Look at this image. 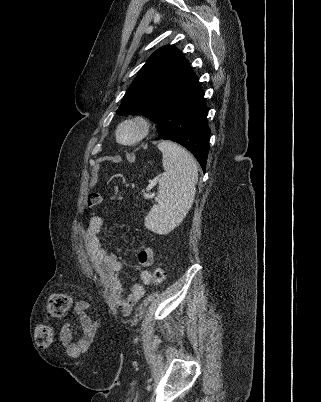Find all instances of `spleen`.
Here are the masks:
<instances>
[{
	"instance_id": "3e777b00",
	"label": "spleen",
	"mask_w": 321,
	"mask_h": 402,
	"mask_svg": "<svg viewBox=\"0 0 321 402\" xmlns=\"http://www.w3.org/2000/svg\"><path fill=\"white\" fill-rule=\"evenodd\" d=\"M165 173L159 180L158 195L145 218L147 229L165 234L179 224L190 210L198 182V167L194 158L180 145L161 141Z\"/></svg>"
}]
</instances>
